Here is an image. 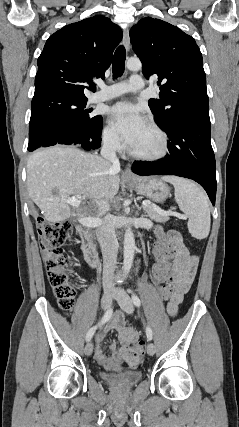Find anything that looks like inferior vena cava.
<instances>
[{
    "label": "inferior vena cava",
    "mask_w": 239,
    "mask_h": 427,
    "mask_svg": "<svg viewBox=\"0 0 239 427\" xmlns=\"http://www.w3.org/2000/svg\"><path fill=\"white\" fill-rule=\"evenodd\" d=\"M118 141L116 136H110L103 141L101 156L112 163L116 170H120V162L116 156ZM97 238L103 255V288L114 290V271L117 263L118 241L115 229L106 218L103 225L97 229Z\"/></svg>",
    "instance_id": "1"
}]
</instances>
